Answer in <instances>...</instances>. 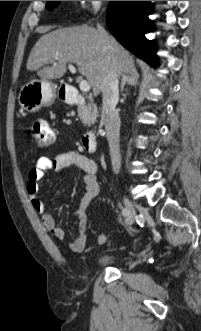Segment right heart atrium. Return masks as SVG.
Instances as JSON below:
<instances>
[{"instance_id": "obj_1", "label": "right heart atrium", "mask_w": 201, "mask_h": 331, "mask_svg": "<svg viewBox=\"0 0 201 331\" xmlns=\"http://www.w3.org/2000/svg\"><path fill=\"white\" fill-rule=\"evenodd\" d=\"M82 2L88 4L91 10L97 11L101 9L103 1H82Z\"/></svg>"}]
</instances>
